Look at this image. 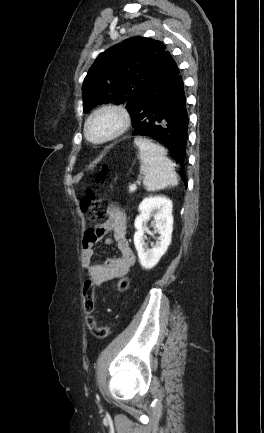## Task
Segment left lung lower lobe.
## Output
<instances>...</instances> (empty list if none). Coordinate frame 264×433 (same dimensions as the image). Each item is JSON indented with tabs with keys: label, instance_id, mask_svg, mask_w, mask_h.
I'll list each match as a JSON object with an SVG mask.
<instances>
[{
	"label": "left lung lower lobe",
	"instance_id": "left-lung-lower-lobe-1",
	"mask_svg": "<svg viewBox=\"0 0 264 433\" xmlns=\"http://www.w3.org/2000/svg\"><path fill=\"white\" fill-rule=\"evenodd\" d=\"M133 135L150 137L171 153L185 178V157L188 137V113L184 83L172 57L155 79L140 93L130 112Z\"/></svg>",
	"mask_w": 264,
	"mask_h": 433
}]
</instances>
